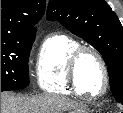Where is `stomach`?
<instances>
[{
    "instance_id": "0dacf381",
    "label": "stomach",
    "mask_w": 123,
    "mask_h": 113,
    "mask_svg": "<svg viewBox=\"0 0 123 113\" xmlns=\"http://www.w3.org/2000/svg\"><path fill=\"white\" fill-rule=\"evenodd\" d=\"M73 113H86V112H73Z\"/></svg>"
}]
</instances>
